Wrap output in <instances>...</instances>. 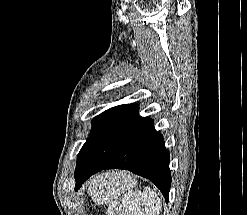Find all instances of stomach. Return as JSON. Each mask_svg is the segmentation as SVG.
<instances>
[{
  "label": "stomach",
  "instance_id": "1",
  "mask_svg": "<svg viewBox=\"0 0 247 215\" xmlns=\"http://www.w3.org/2000/svg\"><path fill=\"white\" fill-rule=\"evenodd\" d=\"M119 174L99 175L91 182L89 192L96 202L107 201L133 185V181L129 176L124 174V176L120 177Z\"/></svg>",
  "mask_w": 247,
  "mask_h": 215
}]
</instances>
